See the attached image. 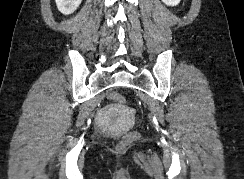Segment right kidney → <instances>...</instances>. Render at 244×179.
Segmentation results:
<instances>
[{
    "label": "right kidney",
    "mask_w": 244,
    "mask_h": 179,
    "mask_svg": "<svg viewBox=\"0 0 244 179\" xmlns=\"http://www.w3.org/2000/svg\"><path fill=\"white\" fill-rule=\"evenodd\" d=\"M56 6L61 14H73L79 8L82 0H55Z\"/></svg>",
    "instance_id": "1"
}]
</instances>
